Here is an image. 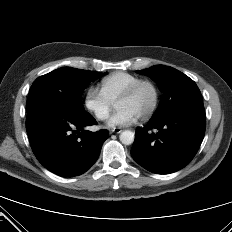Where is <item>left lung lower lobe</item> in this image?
<instances>
[{
	"label": "left lung lower lobe",
	"mask_w": 232,
	"mask_h": 232,
	"mask_svg": "<svg viewBox=\"0 0 232 232\" xmlns=\"http://www.w3.org/2000/svg\"><path fill=\"white\" fill-rule=\"evenodd\" d=\"M202 97L184 102L135 132L131 149L133 159L157 174L184 168L197 153L205 134ZM156 129V133L151 130Z\"/></svg>",
	"instance_id": "0a47b994"
}]
</instances>
